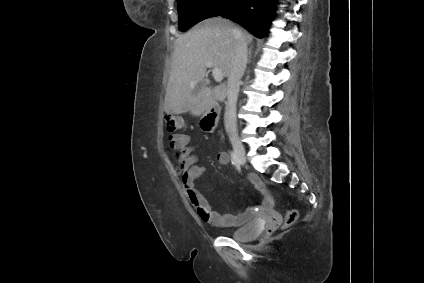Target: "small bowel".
I'll list each match as a JSON object with an SVG mask.
<instances>
[{
    "instance_id": "obj_1",
    "label": "small bowel",
    "mask_w": 424,
    "mask_h": 283,
    "mask_svg": "<svg viewBox=\"0 0 424 283\" xmlns=\"http://www.w3.org/2000/svg\"><path fill=\"white\" fill-rule=\"evenodd\" d=\"M169 144L176 151L175 159L178 162L177 173L181 178L187 197L203 221L212 226L230 228L245 223L251 217L253 209L235 214H220L213 211L195 185L196 180L205 172V168L197 164V145L191 144L190 137L182 133L170 136ZM229 160L230 157L227 152L221 151L217 153L219 164L227 165ZM249 179L260 192L265 194V186L257 176L250 175ZM270 203V199L266 197L265 205H269Z\"/></svg>"
}]
</instances>
